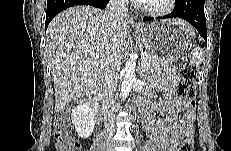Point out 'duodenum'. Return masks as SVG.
<instances>
[{
  "instance_id": "410a0bca",
  "label": "duodenum",
  "mask_w": 231,
  "mask_h": 151,
  "mask_svg": "<svg viewBox=\"0 0 231 151\" xmlns=\"http://www.w3.org/2000/svg\"><path fill=\"white\" fill-rule=\"evenodd\" d=\"M86 103L90 104L93 107V103H92L91 100L87 101ZM93 111H94V114H95L96 118L100 119L101 116H102L101 111L99 109L95 108V107L93 108Z\"/></svg>"
}]
</instances>
